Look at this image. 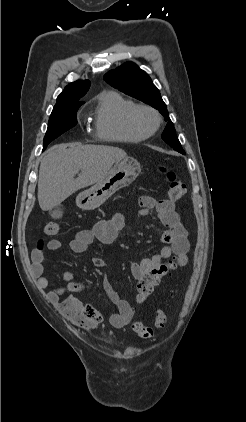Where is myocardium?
Listing matches in <instances>:
<instances>
[{"label":"myocardium","instance_id":"f54148a6","mask_svg":"<svg viewBox=\"0 0 246 422\" xmlns=\"http://www.w3.org/2000/svg\"><path fill=\"white\" fill-rule=\"evenodd\" d=\"M145 114H149L154 118L155 124L153 127L150 128L145 125L143 121V116ZM129 118L133 128L146 137L154 135L162 125L160 113L149 105H137L130 113Z\"/></svg>","mask_w":246,"mask_h":422}]
</instances>
